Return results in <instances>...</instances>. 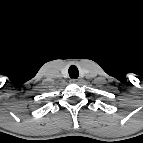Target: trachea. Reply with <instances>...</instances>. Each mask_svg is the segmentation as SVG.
I'll list each match as a JSON object with an SVG mask.
<instances>
[{
    "label": "trachea",
    "instance_id": "trachea-1",
    "mask_svg": "<svg viewBox=\"0 0 143 143\" xmlns=\"http://www.w3.org/2000/svg\"><path fill=\"white\" fill-rule=\"evenodd\" d=\"M69 76H70V78H74V79L78 78L79 71H78V68L76 66L72 65L69 67Z\"/></svg>",
    "mask_w": 143,
    "mask_h": 143
}]
</instances>
